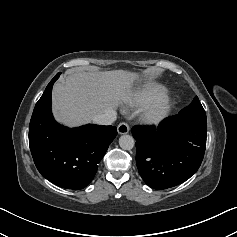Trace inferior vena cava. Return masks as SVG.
I'll return each mask as SVG.
<instances>
[{
	"label": "inferior vena cava",
	"instance_id": "602c4592",
	"mask_svg": "<svg viewBox=\"0 0 237 237\" xmlns=\"http://www.w3.org/2000/svg\"><path fill=\"white\" fill-rule=\"evenodd\" d=\"M117 118L115 110H109L105 113L96 115L93 122L98 125H111Z\"/></svg>",
	"mask_w": 237,
	"mask_h": 237
}]
</instances>
